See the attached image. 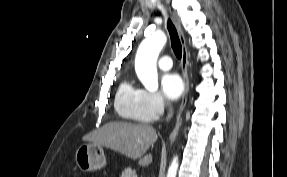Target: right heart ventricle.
Listing matches in <instances>:
<instances>
[{
	"mask_svg": "<svg viewBox=\"0 0 287 177\" xmlns=\"http://www.w3.org/2000/svg\"><path fill=\"white\" fill-rule=\"evenodd\" d=\"M114 107L117 114L129 121L149 122L144 109L143 90L135 86L130 79H125L118 87Z\"/></svg>",
	"mask_w": 287,
	"mask_h": 177,
	"instance_id": "e07e8e85",
	"label": "right heart ventricle"
}]
</instances>
